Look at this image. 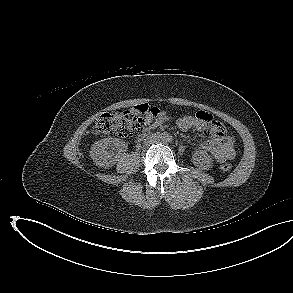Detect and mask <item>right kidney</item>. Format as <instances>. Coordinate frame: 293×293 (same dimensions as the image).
Masks as SVG:
<instances>
[{
    "instance_id": "right-kidney-1",
    "label": "right kidney",
    "mask_w": 293,
    "mask_h": 293,
    "mask_svg": "<svg viewBox=\"0 0 293 293\" xmlns=\"http://www.w3.org/2000/svg\"><path fill=\"white\" fill-rule=\"evenodd\" d=\"M125 142L117 138H104L92 145L90 156L94 163L99 167L109 168L116 164L117 156L114 150L126 151Z\"/></svg>"
}]
</instances>
